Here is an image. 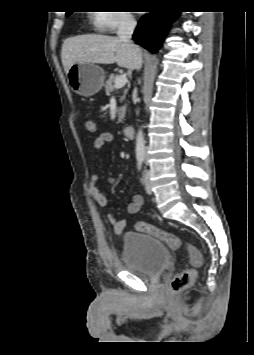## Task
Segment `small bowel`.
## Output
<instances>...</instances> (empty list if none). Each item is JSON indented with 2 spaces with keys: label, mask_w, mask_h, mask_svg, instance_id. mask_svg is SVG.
<instances>
[{
  "label": "small bowel",
  "mask_w": 254,
  "mask_h": 355,
  "mask_svg": "<svg viewBox=\"0 0 254 355\" xmlns=\"http://www.w3.org/2000/svg\"><path fill=\"white\" fill-rule=\"evenodd\" d=\"M114 135L111 133H101L93 142V148L96 151L102 150L107 144L113 142ZM97 175H92L89 185V191L91 196L95 199V201L101 206H107V198L106 196L100 191L99 187L97 186ZM144 204V199L139 194H134L132 196L131 201L127 205V212L129 214H136L140 211ZM108 218L111 224V227L115 233H122L126 227V221L124 219H116L112 216L111 213H108Z\"/></svg>",
  "instance_id": "1"
}]
</instances>
